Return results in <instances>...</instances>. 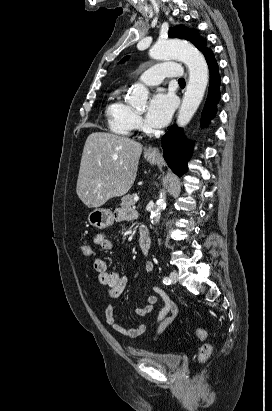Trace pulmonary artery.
Listing matches in <instances>:
<instances>
[{
    "mask_svg": "<svg viewBox=\"0 0 272 411\" xmlns=\"http://www.w3.org/2000/svg\"><path fill=\"white\" fill-rule=\"evenodd\" d=\"M172 77V78H181L182 71L179 65L175 62H164L156 64L146 71H144L139 80L142 81L144 84L148 86H157L159 85L164 78Z\"/></svg>",
    "mask_w": 272,
    "mask_h": 411,
    "instance_id": "e3ab8cb5",
    "label": "pulmonary artery"
}]
</instances>
